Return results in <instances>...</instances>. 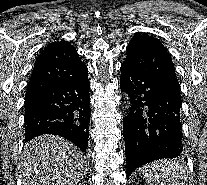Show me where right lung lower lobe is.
<instances>
[{
	"label": "right lung lower lobe",
	"instance_id": "98d812e1",
	"mask_svg": "<svg viewBox=\"0 0 207 185\" xmlns=\"http://www.w3.org/2000/svg\"><path fill=\"white\" fill-rule=\"evenodd\" d=\"M88 70L82 76L25 98V139L62 136L83 152L88 146L90 97Z\"/></svg>",
	"mask_w": 207,
	"mask_h": 185
}]
</instances>
